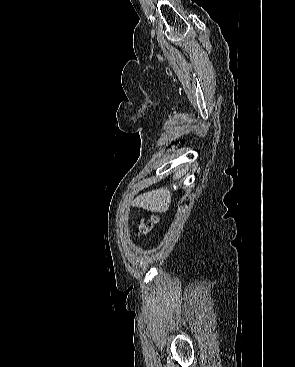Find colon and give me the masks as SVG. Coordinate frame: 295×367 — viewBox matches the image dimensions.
Listing matches in <instances>:
<instances>
[{
	"label": "colon",
	"instance_id": "colon-1",
	"mask_svg": "<svg viewBox=\"0 0 295 367\" xmlns=\"http://www.w3.org/2000/svg\"><path fill=\"white\" fill-rule=\"evenodd\" d=\"M155 221H156V218L155 217H153V218H151L149 220H143L141 222V224H140V232L142 234H145V233L149 232L151 230L152 225H153V223Z\"/></svg>",
	"mask_w": 295,
	"mask_h": 367
}]
</instances>
